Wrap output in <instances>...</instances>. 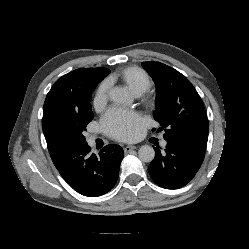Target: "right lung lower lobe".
Wrapping results in <instances>:
<instances>
[{"mask_svg": "<svg viewBox=\"0 0 249 249\" xmlns=\"http://www.w3.org/2000/svg\"><path fill=\"white\" fill-rule=\"evenodd\" d=\"M86 144L66 146L53 159L64 180L78 193L96 197L110 191L117 182L123 149L110 144L99 155L91 154Z\"/></svg>", "mask_w": 249, "mask_h": 249, "instance_id": "1", "label": "right lung lower lobe"}]
</instances>
